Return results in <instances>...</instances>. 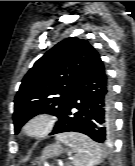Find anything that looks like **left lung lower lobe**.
Masks as SVG:
<instances>
[{
	"label": "left lung lower lobe",
	"mask_w": 135,
	"mask_h": 166,
	"mask_svg": "<svg viewBox=\"0 0 135 166\" xmlns=\"http://www.w3.org/2000/svg\"><path fill=\"white\" fill-rule=\"evenodd\" d=\"M58 119L51 134L80 132L96 142H110L114 130L112 89L98 53L81 74Z\"/></svg>",
	"instance_id": "left-lung-lower-lobe-1"
}]
</instances>
